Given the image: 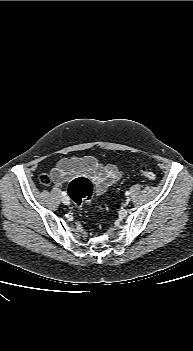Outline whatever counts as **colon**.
I'll use <instances>...</instances> for the list:
<instances>
[{
    "mask_svg": "<svg viewBox=\"0 0 193 351\" xmlns=\"http://www.w3.org/2000/svg\"><path fill=\"white\" fill-rule=\"evenodd\" d=\"M140 175L147 180L156 179V173L146 166L140 168ZM39 180L43 185H48L50 183L49 177L45 174L41 175ZM93 190L94 186L92 181L86 177L74 178L68 185V194L78 210H81L83 205L90 202Z\"/></svg>",
    "mask_w": 193,
    "mask_h": 351,
    "instance_id": "5ec220e1",
    "label": "colon"
}]
</instances>
